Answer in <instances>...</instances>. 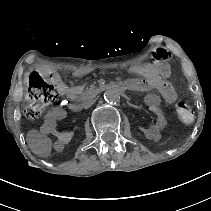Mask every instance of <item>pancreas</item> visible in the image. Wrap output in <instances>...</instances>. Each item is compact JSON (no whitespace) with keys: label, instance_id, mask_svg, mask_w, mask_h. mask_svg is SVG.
Instances as JSON below:
<instances>
[{"label":"pancreas","instance_id":"pancreas-1","mask_svg":"<svg viewBox=\"0 0 211 211\" xmlns=\"http://www.w3.org/2000/svg\"><path fill=\"white\" fill-rule=\"evenodd\" d=\"M93 94V86H91L89 89L85 90L83 93H82V97L84 99H88L90 97V95Z\"/></svg>","mask_w":211,"mask_h":211}]
</instances>
